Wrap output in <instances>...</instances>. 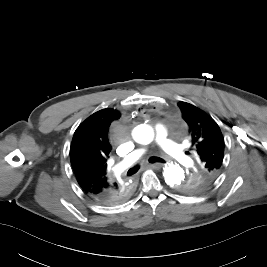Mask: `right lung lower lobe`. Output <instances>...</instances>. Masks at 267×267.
Wrapping results in <instances>:
<instances>
[{
	"label": "right lung lower lobe",
	"instance_id": "right-lung-lower-lobe-1",
	"mask_svg": "<svg viewBox=\"0 0 267 267\" xmlns=\"http://www.w3.org/2000/svg\"><path fill=\"white\" fill-rule=\"evenodd\" d=\"M132 193L131 184L120 185L105 190L98 195H88L102 205H117L126 201Z\"/></svg>",
	"mask_w": 267,
	"mask_h": 267
}]
</instances>
